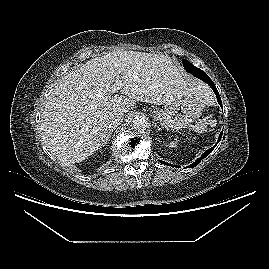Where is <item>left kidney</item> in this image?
Wrapping results in <instances>:
<instances>
[{"mask_svg": "<svg viewBox=\"0 0 269 269\" xmlns=\"http://www.w3.org/2000/svg\"><path fill=\"white\" fill-rule=\"evenodd\" d=\"M167 146H169V148H176L177 144L175 142H169Z\"/></svg>", "mask_w": 269, "mask_h": 269, "instance_id": "left-kidney-1", "label": "left kidney"}]
</instances>
